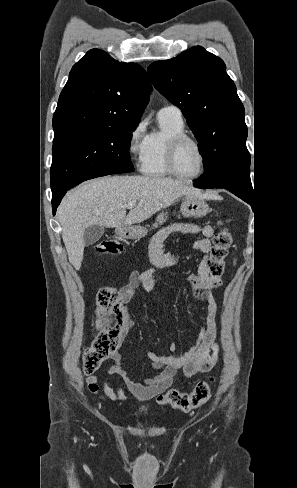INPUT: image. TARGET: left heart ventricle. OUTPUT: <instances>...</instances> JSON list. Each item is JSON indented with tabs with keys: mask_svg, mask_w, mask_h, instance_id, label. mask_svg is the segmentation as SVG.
I'll return each instance as SVG.
<instances>
[{
	"mask_svg": "<svg viewBox=\"0 0 297 488\" xmlns=\"http://www.w3.org/2000/svg\"><path fill=\"white\" fill-rule=\"evenodd\" d=\"M200 164L201 157L196 146L191 142L184 143L177 153L178 171L184 175H192L199 170Z\"/></svg>",
	"mask_w": 297,
	"mask_h": 488,
	"instance_id": "b2bd125f",
	"label": "left heart ventricle"
}]
</instances>
